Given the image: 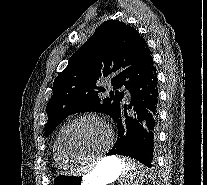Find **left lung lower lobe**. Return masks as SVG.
I'll list each match as a JSON object with an SVG mask.
<instances>
[{
    "instance_id": "1",
    "label": "left lung lower lobe",
    "mask_w": 207,
    "mask_h": 185,
    "mask_svg": "<svg viewBox=\"0 0 207 185\" xmlns=\"http://www.w3.org/2000/svg\"><path fill=\"white\" fill-rule=\"evenodd\" d=\"M115 118L118 137L107 155H123L152 167L158 140V88L155 67L130 85Z\"/></svg>"
}]
</instances>
